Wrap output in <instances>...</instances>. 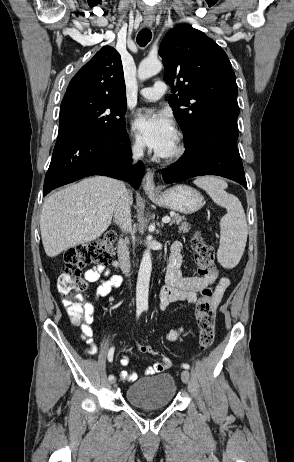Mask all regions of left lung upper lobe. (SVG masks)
Segmentation results:
<instances>
[{"label": "left lung upper lobe", "mask_w": 294, "mask_h": 462, "mask_svg": "<svg viewBox=\"0 0 294 462\" xmlns=\"http://www.w3.org/2000/svg\"><path fill=\"white\" fill-rule=\"evenodd\" d=\"M164 80L173 87L169 105L189 141L204 122L225 106L238 107L237 84L224 50L203 32L177 25L160 44Z\"/></svg>", "instance_id": "5c2ea615"}]
</instances>
